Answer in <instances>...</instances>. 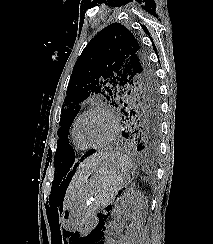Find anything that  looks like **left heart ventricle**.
I'll return each mask as SVG.
<instances>
[{"mask_svg": "<svg viewBox=\"0 0 213 244\" xmlns=\"http://www.w3.org/2000/svg\"><path fill=\"white\" fill-rule=\"evenodd\" d=\"M111 124L109 119L101 112L86 115L77 128L78 137L88 145L103 142L110 134Z\"/></svg>", "mask_w": 213, "mask_h": 244, "instance_id": "obj_1", "label": "left heart ventricle"}]
</instances>
